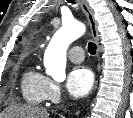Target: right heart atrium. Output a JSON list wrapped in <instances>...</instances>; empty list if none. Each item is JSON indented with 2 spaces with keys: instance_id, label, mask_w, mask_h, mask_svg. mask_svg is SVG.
<instances>
[{
  "instance_id": "d8ad5b80",
  "label": "right heart atrium",
  "mask_w": 133,
  "mask_h": 118,
  "mask_svg": "<svg viewBox=\"0 0 133 118\" xmlns=\"http://www.w3.org/2000/svg\"><path fill=\"white\" fill-rule=\"evenodd\" d=\"M45 90L47 100L55 102L60 99L62 93L61 85L55 80L47 78Z\"/></svg>"
}]
</instances>
